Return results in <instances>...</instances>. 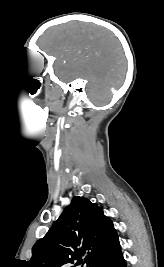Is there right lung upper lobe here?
<instances>
[{"mask_svg": "<svg viewBox=\"0 0 164 267\" xmlns=\"http://www.w3.org/2000/svg\"><path fill=\"white\" fill-rule=\"evenodd\" d=\"M117 249L120 243L116 230L102 208L75 196L48 233L35 243L28 266L66 267L86 254V266L93 267Z\"/></svg>", "mask_w": 164, "mask_h": 267, "instance_id": "obj_1", "label": "right lung upper lobe"}]
</instances>
